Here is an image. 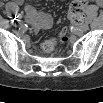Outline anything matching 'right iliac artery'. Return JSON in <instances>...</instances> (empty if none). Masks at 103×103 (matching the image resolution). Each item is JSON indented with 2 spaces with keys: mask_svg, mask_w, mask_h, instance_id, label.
I'll return each instance as SVG.
<instances>
[{
  "mask_svg": "<svg viewBox=\"0 0 103 103\" xmlns=\"http://www.w3.org/2000/svg\"><path fill=\"white\" fill-rule=\"evenodd\" d=\"M22 18V15L21 14H16L15 15V20H20ZM14 21V20H13Z\"/></svg>",
  "mask_w": 103,
  "mask_h": 103,
  "instance_id": "obj_1",
  "label": "right iliac artery"
}]
</instances>
